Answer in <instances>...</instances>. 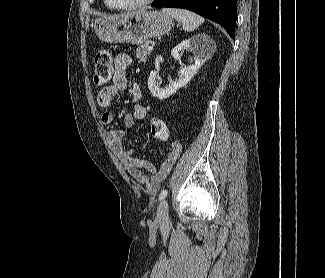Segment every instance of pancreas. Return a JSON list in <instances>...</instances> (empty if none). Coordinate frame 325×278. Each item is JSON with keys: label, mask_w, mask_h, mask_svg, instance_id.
Wrapping results in <instances>:
<instances>
[{"label": "pancreas", "mask_w": 325, "mask_h": 278, "mask_svg": "<svg viewBox=\"0 0 325 278\" xmlns=\"http://www.w3.org/2000/svg\"><path fill=\"white\" fill-rule=\"evenodd\" d=\"M135 55L139 63H145L150 55V52L147 49V44L138 47L135 51Z\"/></svg>", "instance_id": "1"}]
</instances>
